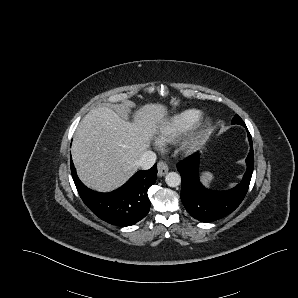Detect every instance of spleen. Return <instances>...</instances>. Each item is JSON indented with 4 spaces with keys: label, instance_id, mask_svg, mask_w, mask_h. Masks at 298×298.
<instances>
[{
    "label": "spleen",
    "instance_id": "obj_1",
    "mask_svg": "<svg viewBox=\"0 0 298 298\" xmlns=\"http://www.w3.org/2000/svg\"><path fill=\"white\" fill-rule=\"evenodd\" d=\"M217 180L215 174L209 170H202L198 174V181L207 190H210L213 183Z\"/></svg>",
    "mask_w": 298,
    "mask_h": 298
}]
</instances>
